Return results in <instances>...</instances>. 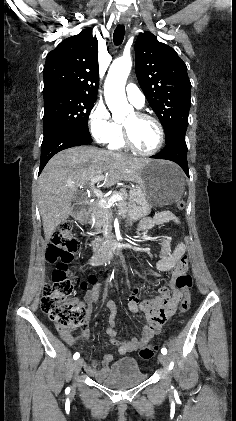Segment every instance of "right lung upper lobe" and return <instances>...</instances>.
Masks as SVG:
<instances>
[{
	"label": "right lung upper lobe",
	"mask_w": 236,
	"mask_h": 421,
	"mask_svg": "<svg viewBox=\"0 0 236 421\" xmlns=\"http://www.w3.org/2000/svg\"><path fill=\"white\" fill-rule=\"evenodd\" d=\"M98 41L92 29L63 40L48 53L43 70L44 89H58L97 97Z\"/></svg>",
	"instance_id": "cb5924a9"
}]
</instances>
